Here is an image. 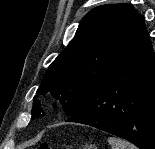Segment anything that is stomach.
<instances>
[{
    "label": "stomach",
    "instance_id": "0dacf381",
    "mask_svg": "<svg viewBox=\"0 0 155 149\" xmlns=\"http://www.w3.org/2000/svg\"><path fill=\"white\" fill-rule=\"evenodd\" d=\"M82 149H97V147L92 144H90V145L86 144Z\"/></svg>",
    "mask_w": 155,
    "mask_h": 149
}]
</instances>
